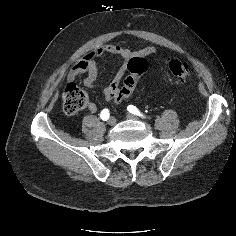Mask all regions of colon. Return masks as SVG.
I'll return each mask as SVG.
<instances>
[{
  "label": "colon",
  "instance_id": "obj_1",
  "mask_svg": "<svg viewBox=\"0 0 236 236\" xmlns=\"http://www.w3.org/2000/svg\"><path fill=\"white\" fill-rule=\"evenodd\" d=\"M129 75L123 81V84L116 96L120 101L131 96L136 88L139 78L148 70V62L144 58L133 57L127 65ZM168 69L174 76L177 83H185L190 76L189 65L185 61L173 59L168 63ZM132 93L131 95H129ZM89 102L87 93L76 84H69L63 93V108L69 115H74L84 109Z\"/></svg>",
  "mask_w": 236,
  "mask_h": 236
}]
</instances>
